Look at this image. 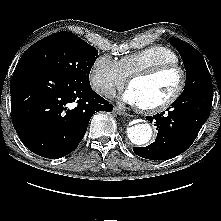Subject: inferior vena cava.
I'll use <instances>...</instances> for the list:
<instances>
[{
    "mask_svg": "<svg viewBox=\"0 0 221 221\" xmlns=\"http://www.w3.org/2000/svg\"><path fill=\"white\" fill-rule=\"evenodd\" d=\"M102 91L106 96H109L114 92L113 88L110 86H105Z\"/></svg>",
    "mask_w": 221,
    "mask_h": 221,
    "instance_id": "obj_1",
    "label": "inferior vena cava"
}]
</instances>
